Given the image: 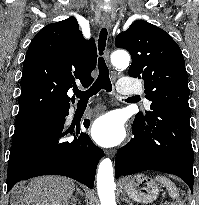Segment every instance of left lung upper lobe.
Listing matches in <instances>:
<instances>
[{"instance_id": "left-lung-upper-lobe-1", "label": "left lung upper lobe", "mask_w": 199, "mask_h": 205, "mask_svg": "<svg viewBox=\"0 0 199 205\" xmlns=\"http://www.w3.org/2000/svg\"><path fill=\"white\" fill-rule=\"evenodd\" d=\"M115 46L129 51V76L142 78L151 109H165L190 116L188 75L183 54L163 29L143 20L135 21L115 38ZM151 111L137 113L134 122L148 123Z\"/></svg>"}]
</instances>
